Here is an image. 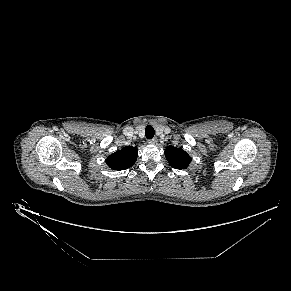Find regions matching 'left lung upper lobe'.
Returning <instances> with one entry per match:
<instances>
[{
  "label": "left lung upper lobe",
  "instance_id": "5c2ea615",
  "mask_svg": "<svg viewBox=\"0 0 291 291\" xmlns=\"http://www.w3.org/2000/svg\"><path fill=\"white\" fill-rule=\"evenodd\" d=\"M164 154L170 166L180 170L186 169L192 160L182 148L174 146L167 147Z\"/></svg>",
  "mask_w": 291,
  "mask_h": 291
}]
</instances>
